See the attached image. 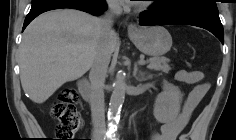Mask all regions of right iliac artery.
<instances>
[{
    "label": "right iliac artery",
    "instance_id": "1",
    "mask_svg": "<svg viewBox=\"0 0 236 140\" xmlns=\"http://www.w3.org/2000/svg\"><path fill=\"white\" fill-rule=\"evenodd\" d=\"M104 139H107V140H108V139H110V136L108 135L107 138H104Z\"/></svg>",
    "mask_w": 236,
    "mask_h": 140
}]
</instances>
